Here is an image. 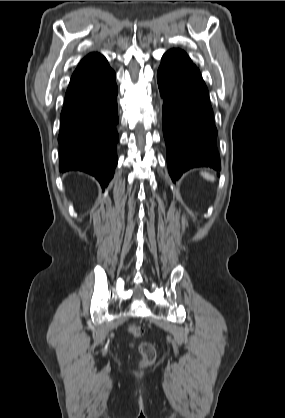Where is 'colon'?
Segmentation results:
<instances>
[{"label": "colon", "instance_id": "colon-1", "mask_svg": "<svg viewBox=\"0 0 285 418\" xmlns=\"http://www.w3.org/2000/svg\"><path fill=\"white\" fill-rule=\"evenodd\" d=\"M128 332L136 338H139L143 335V329L139 326H130ZM139 352L141 355L139 365L142 368L152 365L156 360V348L150 342H141L139 345Z\"/></svg>", "mask_w": 285, "mask_h": 418}]
</instances>
